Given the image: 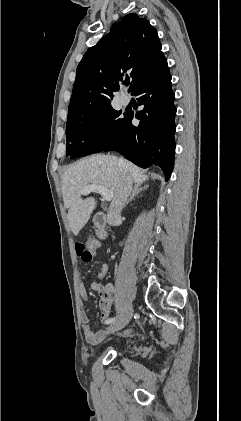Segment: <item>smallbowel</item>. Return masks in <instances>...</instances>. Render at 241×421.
<instances>
[{
  "label": "small bowel",
  "mask_w": 241,
  "mask_h": 421,
  "mask_svg": "<svg viewBox=\"0 0 241 421\" xmlns=\"http://www.w3.org/2000/svg\"><path fill=\"white\" fill-rule=\"evenodd\" d=\"M109 266L104 263L97 274V279L91 283V289L100 296L99 309L101 312V322L105 323L108 319L113 298V285L103 284L101 280L106 276ZM79 294L83 301L88 300L87 292L83 281L79 283ZM83 334L85 340L90 344H97L105 339L107 332L105 330L94 331L90 325V317L87 313L82 314Z\"/></svg>",
  "instance_id": "small-bowel-1"
}]
</instances>
